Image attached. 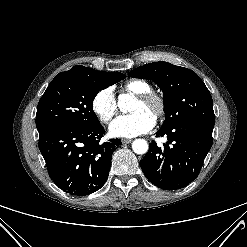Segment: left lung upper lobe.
I'll list each match as a JSON object with an SVG mask.
<instances>
[{"label": "left lung upper lobe", "instance_id": "obj_1", "mask_svg": "<svg viewBox=\"0 0 247 247\" xmlns=\"http://www.w3.org/2000/svg\"><path fill=\"white\" fill-rule=\"evenodd\" d=\"M128 76L152 80L163 91L166 115L161 128L192 122L213 129L212 97L204 82L192 70L168 62H154L132 70Z\"/></svg>", "mask_w": 247, "mask_h": 247}]
</instances>
